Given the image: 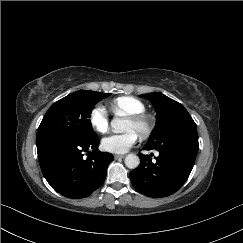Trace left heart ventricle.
<instances>
[{
	"instance_id": "b2bd125f",
	"label": "left heart ventricle",
	"mask_w": 243,
	"mask_h": 243,
	"mask_svg": "<svg viewBox=\"0 0 243 243\" xmlns=\"http://www.w3.org/2000/svg\"><path fill=\"white\" fill-rule=\"evenodd\" d=\"M124 130H132L134 131L137 135H139L142 131V127L140 125H137L130 120L126 119L125 125H124Z\"/></svg>"
}]
</instances>
